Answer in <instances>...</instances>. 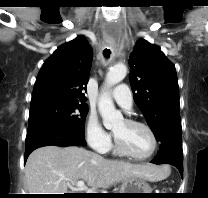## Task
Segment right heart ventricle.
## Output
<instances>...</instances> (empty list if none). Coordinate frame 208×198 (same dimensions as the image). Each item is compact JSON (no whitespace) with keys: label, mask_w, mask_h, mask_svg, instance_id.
<instances>
[{"label":"right heart ventricle","mask_w":208,"mask_h":198,"mask_svg":"<svg viewBox=\"0 0 208 198\" xmlns=\"http://www.w3.org/2000/svg\"><path fill=\"white\" fill-rule=\"evenodd\" d=\"M113 152H114V154H116V155H122V153L119 152V151L117 150V148H114V149H113Z\"/></svg>","instance_id":"e07e8e85"}]
</instances>
